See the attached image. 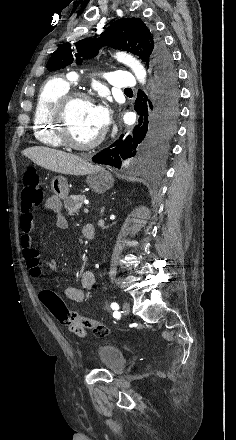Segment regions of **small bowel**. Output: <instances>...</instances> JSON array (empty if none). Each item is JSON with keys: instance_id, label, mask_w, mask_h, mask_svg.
Returning a JSON list of instances; mask_svg holds the SVG:
<instances>
[{"instance_id": "c3829d8e", "label": "small bowel", "mask_w": 236, "mask_h": 440, "mask_svg": "<svg viewBox=\"0 0 236 440\" xmlns=\"http://www.w3.org/2000/svg\"><path fill=\"white\" fill-rule=\"evenodd\" d=\"M45 208L51 211L54 215L55 224L60 228L67 227V220L62 213V200L57 195L50 196L45 203ZM20 227L22 234L20 237V246L22 248L23 257L26 260L27 268L32 277L38 278L42 275V268L40 266L39 252L32 246L31 233L34 228V221L32 213H24L20 220ZM50 269L55 270V265L50 264ZM95 283V276L93 272L86 270L81 275V288L68 286L65 288V295L68 299L82 303L85 301L86 292L90 290ZM42 291V290H41ZM40 291V292H41ZM39 299L41 303L47 308L42 298ZM84 324H72L70 330L72 333H78V337H83L85 332Z\"/></svg>"}]
</instances>
